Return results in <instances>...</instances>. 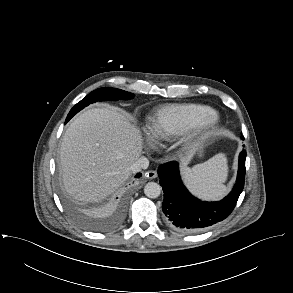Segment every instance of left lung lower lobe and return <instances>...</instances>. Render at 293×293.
Masks as SVG:
<instances>
[{
    "instance_id": "obj_1",
    "label": "left lung lower lobe",
    "mask_w": 293,
    "mask_h": 293,
    "mask_svg": "<svg viewBox=\"0 0 293 293\" xmlns=\"http://www.w3.org/2000/svg\"><path fill=\"white\" fill-rule=\"evenodd\" d=\"M245 160L246 151L243 150L239 155L236 183L231 193L217 202H205L194 197L183 185L176 161L160 165L158 176L164 191L162 210L168 224L182 233H197L227 218L244 187Z\"/></svg>"
}]
</instances>
